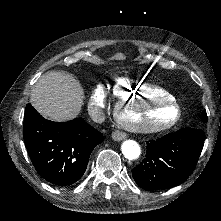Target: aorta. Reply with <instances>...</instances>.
<instances>
[{
  "label": "aorta",
  "mask_w": 221,
  "mask_h": 221,
  "mask_svg": "<svg viewBox=\"0 0 221 221\" xmlns=\"http://www.w3.org/2000/svg\"><path fill=\"white\" fill-rule=\"evenodd\" d=\"M121 151L124 157L128 160L138 159L141 154V148L134 140L124 141L121 145Z\"/></svg>",
  "instance_id": "aorta-1"
}]
</instances>
